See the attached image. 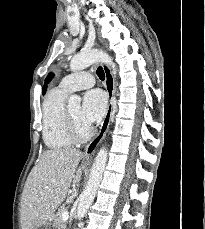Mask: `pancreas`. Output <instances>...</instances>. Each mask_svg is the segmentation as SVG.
<instances>
[{
	"instance_id": "cf45deb5",
	"label": "pancreas",
	"mask_w": 205,
	"mask_h": 229,
	"mask_svg": "<svg viewBox=\"0 0 205 229\" xmlns=\"http://www.w3.org/2000/svg\"><path fill=\"white\" fill-rule=\"evenodd\" d=\"M68 208L63 205L61 206L58 211L54 215V223L57 226V229H66V222L61 218V214L63 212H67Z\"/></svg>"
}]
</instances>
